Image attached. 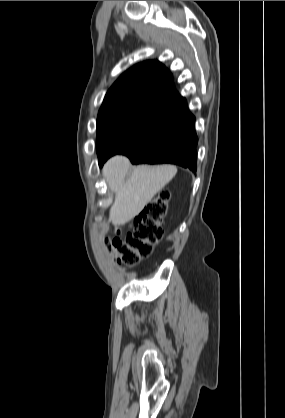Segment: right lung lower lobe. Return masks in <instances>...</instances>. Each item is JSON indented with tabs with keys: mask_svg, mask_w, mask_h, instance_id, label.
Wrapping results in <instances>:
<instances>
[{
	"mask_svg": "<svg viewBox=\"0 0 285 418\" xmlns=\"http://www.w3.org/2000/svg\"><path fill=\"white\" fill-rule=\"evenodd\" d=\"M197 142L195 117L186 104L119 154L129 157L133 164L171 163L195 172ZM108 158L99 159V166Z\"/></svg>",
	"mask_w": 285,
	"mask_h": 418,
	"instance_id": "right-lung-lower-lobe-1",
	"label": "right lung lower lobe"
}]
</instances>
